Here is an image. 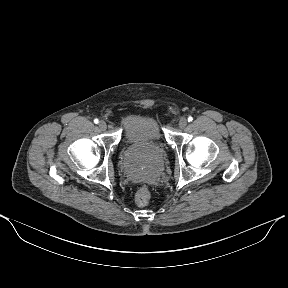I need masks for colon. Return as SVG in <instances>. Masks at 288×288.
I'll list each match as a JSON object with an SVG mask.
<instances>
[{"label":"colon","mask_w":288,"mask_h":288,"mask_svg":"<svg viewBox=\"0 0 288 288\" xmlns=\"http://www.w3.org/2000/svg\"><path fill=\"white\" fill-rule=\"evenodd\" d=\"M150 198V190L147 187H141L135 195V202L139 206H145L149 203Z\"/></svg>","instance_id":"1"}]
</instances>
